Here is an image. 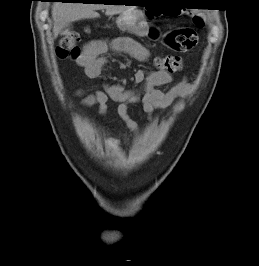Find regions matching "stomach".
I'll use <instances>...</instances> for the list:
<instances>
[{
    "label": "stomach",
    "instance_id": "1",
    "mask_svg": "<svg viewBox=\"0 0 259 266\" xmlns=\"http://www.w3.org/2000/svg\"><path fill=\"white\" fill-rule=\"evenodd\" d=\"M116 23L120 30L129 31L138 36H144L148 32V26L144 17L134 9L121 13Z\"/></svg>",
    "mask_w": 259,
    "mask_h": 266
}]
</instances>
